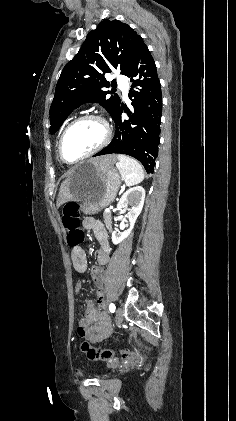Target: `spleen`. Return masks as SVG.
Returning <instances> with one entry per match:
<instances>
[{"instance_id":"1","label":"spleen","mask_w":236,"mask_h":421,"mask_svg":"<svg viewBox=\"0 0 236 421\" xmlns=\"http://www.w3.org/2000/svg\"><path fill=\"white\" fill-rule=\"evenodd\" d=\"M118 162H116L117 168L120 170V174L125 180L127 186H132V184H138L144 178V170L135 158H130V156H125V154H118Z\"/></svg>"}]
</instances>
